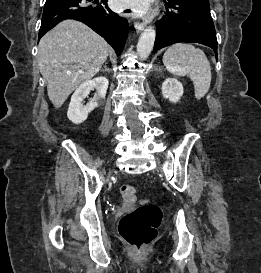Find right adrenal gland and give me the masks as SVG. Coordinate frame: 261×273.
<instances>
[{
  "mask_svg": "<svg viewBox=\"0 0 261 273\" xmlns=\"http://www.w3.org/2000/svg\"><path fill=\"white\" fill-rule=\"evenodd\" d=\"M102 71H107V63H105L104 69Z\"/></svg>",
  "mask_w": 261,
  "mask_h": 273,
  "instance_id": "right-adrenal-gland-1",
  "label": "right adrenal gland"
}]
</instances>
